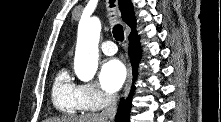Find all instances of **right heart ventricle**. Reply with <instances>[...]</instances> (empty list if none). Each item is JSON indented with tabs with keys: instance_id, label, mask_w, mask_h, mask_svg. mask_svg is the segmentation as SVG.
I'll return each mask as SVG.
<instances>
[{
	"instance_id": "1",
	"label": "right heart ventricle",
	"mask_w": 221,
	"mask_h": 122,
	"mask_svg": "<svg viewBox=\"0 0 221 122\" xmlns=\"http://www.w3.org/2000/svg\"><path fill=\"white\" fill-rule=\"evenodd\" d=\"M79 86L73 82L70 72L66 67L61 68L56 74L52 85V102L54 107L68 115H75L84 111L80 99Z\"/></svg>"
}]
</instances>
